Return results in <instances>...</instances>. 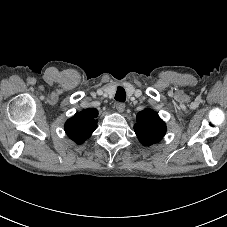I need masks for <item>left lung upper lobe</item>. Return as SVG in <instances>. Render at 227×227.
<instances>
[{
    "label": "left lung upper lobe",
    "instance_id": "left-lung-upper-lobe-1",
    "mask_svg": "<svg viewBox=\"0 0 227 227\" xmlns=\"http://www.w3.org/2000/svg\"><path fill=\"white\" fill-rule=\"evenodd\" d=\"M134 131L140 142L146 146L159 142L165 135L166 125L157 112L145 109L137 114Z\"/></svg>",
    "mask_w": 227,
    "mask_h": 227
}]
</instances>
